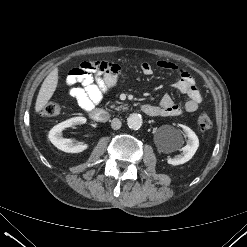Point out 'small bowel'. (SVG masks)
Here are the masks:
<instances>
[{
	"mask_svg": "<svg viewBox=\"0 0 247 247\" xmlns=\"http://www.w3.org/2000/svg\"><path fill=\"white\" fill-rule=\"evenodd\" d=\"M157 66L164 70L179 72L180 79L172 85V88L186 94L187 100L183 106H180L170 95L166 94L160 103L154 106L156 109L154 116L174 117L183 112H195L202 102V94L190 73L165 60L158 61ZM140 70L146 76L153 74V67L149 62L141 63ZM120 73V66L114 62H82L72 69L66 78L68 93L82 109L89 111L100 104L104 95L116 86Z\"/></svg>",
	"mask_w": 247,
	"mask_h": 247,
	"instance_id": "small-bowel-1",
	"label": "small bowel"
}]
</instances>
